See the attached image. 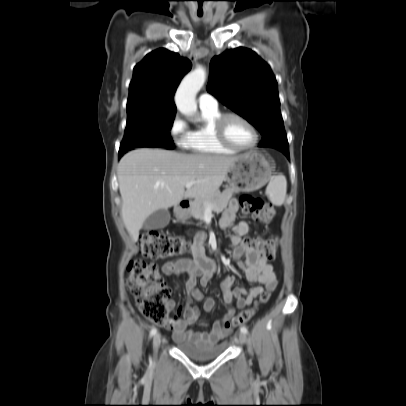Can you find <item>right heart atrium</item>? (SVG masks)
<instances>
[{
	"label": "right heart atrium",
	"instance_id": "1",
	"mask_svg": "<svg viewBox=\"0 0 406 406\" xmlns=\"http://www.w3.org/2000/svg\"><path fill=\"white\" fill-rule=\"evenodd\" d=\"M170 134L178 146L186 147L190 131L186 120L179 113L172 118Z\"/></svg>",
	"mask_w": 406,
	"mask_h": 406
}]
</instances>
